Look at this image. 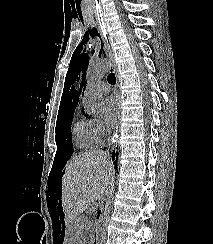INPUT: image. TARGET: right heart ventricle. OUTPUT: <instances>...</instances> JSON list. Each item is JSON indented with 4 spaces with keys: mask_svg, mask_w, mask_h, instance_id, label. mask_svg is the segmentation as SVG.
<instances>
[{
    "mask_svg": "<svg viewBox=\"0 0 213 244\" xmlns=\"http://www.w3.org/2000/svg\"><path fill=\"white\" fill-rule=\"evenodd\" d=\"M72 136L74 143L79 148H91L97 144L86 120L77 119L73 123Z\"/></svg>",
    "mask_w": 213,
    "mask_h": 244,
    "instance_id": "1",
    "label": "right heart ventricle"
}]
</instances>
